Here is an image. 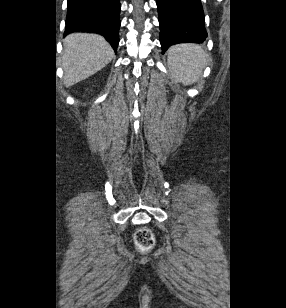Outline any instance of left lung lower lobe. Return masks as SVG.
I'll return each mask as SVG.
<instances>
[{"label":"left lung lower lobe","mask_w":286,"mask_h":308,"mask_svg":"<svg viewBox=\"0 0 286 308\" xmlns=\"http://www.w3.org/2000/svg\"><path fill=\"white\" fill-rule=\"evenodd\" d=\"M162 53L182 42L202 43L206 37L201 0H156Z\"/></svg>","instance_id":"left-lung-lower-lobe-1"}]
</instances>
